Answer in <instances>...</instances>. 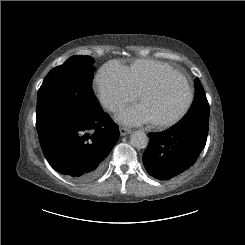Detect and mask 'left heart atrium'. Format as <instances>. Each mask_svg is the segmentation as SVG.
Instances as JSON below:
<instances>
[{"label": "left heart atrium", "instance_id": "1", "mask_svg": "<svg viewBox=\"0 0 245 245\" xmlns=\"http://www.w3.org/2000/svg\"><path fill=\"white\" fill-rule=\"evenodd\" d=\"M117 120L127 126H137L151 122L149 114L141 103L124 110L117 116Z\"/></svg>", "mask_w": 245, "mask_h": 245}]
</instances>
